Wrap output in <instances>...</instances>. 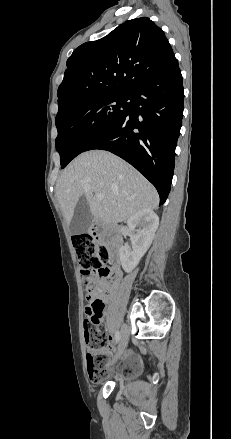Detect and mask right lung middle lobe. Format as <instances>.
Returning <instances> with one entry per match:
<instances>
[{"label":"right lung middle lobe","mask_w":231,"mask_h":439,"mask_svg":"<svg viewBox=\"0 0 231 439\" xmlns=\"http://www.w3.org/2000/svg\"><path fill=\"white\" fill-rule=\"evenodd\" d=\"M131 94L99 96L83 100L58 114L56 149L64 168L98 135L118 121L130 108Z\"/></svg>","instance_id":"1"}]
</instances>
